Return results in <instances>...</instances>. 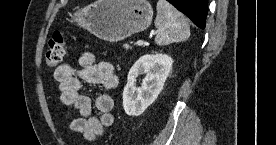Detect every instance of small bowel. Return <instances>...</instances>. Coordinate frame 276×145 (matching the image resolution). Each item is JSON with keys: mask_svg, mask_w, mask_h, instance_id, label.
Segmentation results:
<instances>
[{"mask_svg": "<svg viewBox=\"0 0 276 145\" xmlns=\"http://www.w3.org/2000/svg\"><path fill=\"white\" fill-rule=\"evenodd\" d=\"M79 65L75 67L71 64H62L54 70L53 76L59 84L60 102L67 107L68 115L72 110H77L80 114L71 121L70 129L83 134L86 140L94 141L113 124L114 102L109 94H98L94 115L90 97L80 92L81 80L90 84H100L106 91H112L118 85V78L114 74L112 63L96 62L93 54L89 52L81 55Z\"/></svg>", "mask_w": 276, "mask_h": 145, "instance_id": "1", "label": "small bowel"}]
</instances>
